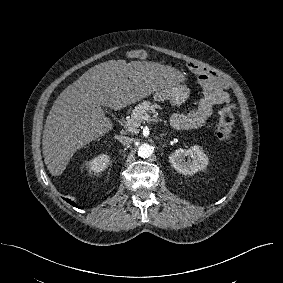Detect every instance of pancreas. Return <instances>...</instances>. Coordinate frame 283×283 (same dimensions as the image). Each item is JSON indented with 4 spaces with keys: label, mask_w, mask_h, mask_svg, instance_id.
I'll use <instances>...</instances> for the list:
<instances>
[{
    "label": "pancreas",
    "mask_w": 283,
    "mask_h": 283,
    "mask_svg": "<svg viewBox=\"0 0 283 283\" xmlns=\"http://www.w3.org/2000/svg\"><path fill=\"white\" fill-rule=\"evenodd\" d=\"M156 109H161L160 105L152 104L148 101H143L138 104L132 111V114L129 119L126 121V128L131 133H136L137 128L141 124V117L147 113H156Z\"/></svg>",
    "instance_id": "cf45deb5"
}]
</instances>
